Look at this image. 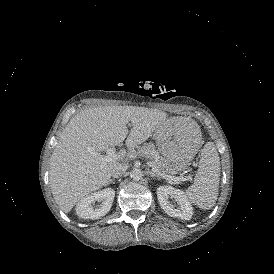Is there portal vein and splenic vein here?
<instances>
[{
	"label": "portal vein and splenic vein",
	"mask_w": 274,
	"mask_h": 274,
	"mask_svg": "<svg viewBox=\"0 0 274 274\" xmlns=\"http://www.w3.org/2000/svg\"><path fill=\"white\" fill-rule=\"evenodd\" d=\"M115 153H116V149L115 148H109L107 151H106V156H103L102 157V160L105 161V162H110L112 161V157H116L115 156ZM153 166V165H152ZM154 167V166H153ZM155 172H157L159 175L163 176L164 178H167L168 176L165 175L164 173H160L158 171V169L155 168ZM175 179L177 181H184L185 178L183 177H175Z\"/></svg>",
	"instance_id": "1"
}]
</instances>
